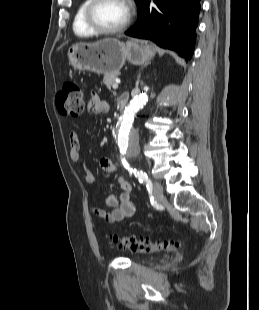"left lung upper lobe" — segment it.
Here are the masks:
<instances>
[{"mask_svg": "<svg viewBox=\"0 0 259 310\" xmlns=\"http://www.w3.org/2000/svg\"><path fill=\"white\" fill-rule=\"evenodd\" d=\"M135 1H136V3H137L138 6H139L140 3L142 2V0H135Z\"/></svg>", "mask_w": 259, "mask_h": 310, "instance_id": "obj_1", "label": "left lung upper lobe"}]
</instances>
